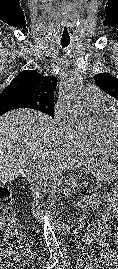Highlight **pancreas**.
Wrapping results in <instances>:
<instances>
[{
	"label": "pancreas",
	"mask_w": 118,
	"mask_h": 269,
	"mask_svg": "<svg viewBox=\"0 0 118 269\" xmlns=\"http://www.w3.org/2000/svg\"><path fill=\"white\" fill-rule=\"evenodd\" d=\"M105 182H88V190L91 192H110V187H105ZM48 184H44V190H48Z\"/></svg>",
	"instance_id": "obj_1"
}]
</instances>
